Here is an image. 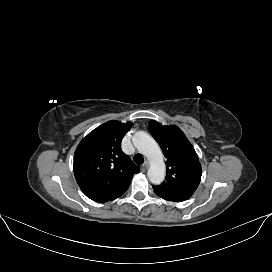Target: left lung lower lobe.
Listing matches in <instances>:
<instances>
[{"label":"left lung lower lobe","instance_id":"left-lung-lower-lobe-1","mask_svg":"<svg viewBox=\"0 0 272 272\" xmlns=\"http://www.w3.org/2000/svg\"><path fill=\"white\" fill-rule=\"evenodd\" d=\"M154 192H155L156 195H158L159 197H161V198H163V199H165V200H168V201L181 202V201H184V200H185V199L173 197V196H170V195H167V194L158 192V191H156V190H154Z\"/></svg>","mask_w":272,"mask_h":272}]
</instances>
